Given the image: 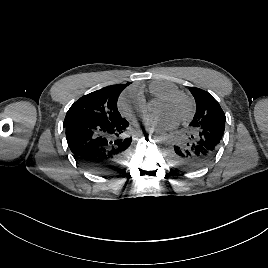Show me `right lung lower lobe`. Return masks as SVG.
Segmentation results:
<instances>
[{
  "mask_svg": "<svg viewBox=\"0 0 268 268\" xmlns=\"http://www.w3.org/2000/svg\"><path fill=\"white\" fill-rule=\"evenodd\" d=\"M128 126L121 118L109 124L80 119L64 127L75 160L94 174L107 175L117 171L127 157L132 142L125 135Z\"/></svg>",
  "mask_w": 268,
  "mask_h": 268,
  "instance_id": "1",
  "label": "right lung lower lobe"
}]
</instances>
